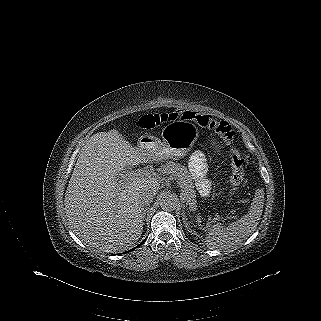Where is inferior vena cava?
<instances>
[{
    "label": "inferior vena cava",
    "instance_id": "1",
    "mask_svg": "<svg viewBox=\"0 0 321 321\" xmlns=\"http://www.w3.org/2000/svg\"><path fill=\"white\" fill-rule=\"evenodd\" d=\"M155 190L152 187L145 186L142 188L139 198L140 203L144 206L149 205L155 197Z\"/></svg>",
    "mask_w": 321,
    "mask_h": 321
}]
</instances>
